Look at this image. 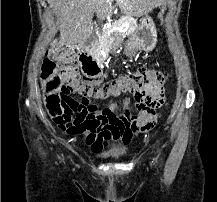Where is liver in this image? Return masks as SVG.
Masks as SVG:
<instances>
[{
    "label": "liver",
    "instance_id": "obj_1",
    "mask_svg": "<svg viewBox=\"0 0 217 202\" xmlns=\"http://www.w3.org/2000/svg\"><path fill=\"white\" fill-rule=\"evenodd\" d=\"M54 8L60 24V46L82 44L93 34L92 18L97 14L100 20H106L113 14L114 0H47ZM121 14L141 18L147 16L154 8L165 4L166 0H115Z\"/></svg>",
    "mask_w": 217,
    "mask_h": 202
}]
</instances>
